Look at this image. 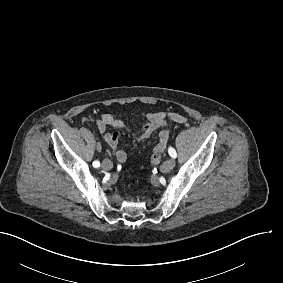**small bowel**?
<instances>
[{
  "instance_id": "small-bowel-1",
  "label": "small bowel",
  "mask_w": 283,
  "mask_h": 283,
  "mask_svg": "<svg viewBox=\"0 0 283 283\" xmlns=\"http://www.w3.org/2000/svg\"><path fill=\"white\" fill-rule=\"evenodd\" d=\"M145 123L142 128L133 133V136L141 141L149 138L156 133L159 128L167 127L170 122L187 125V119L183 115L176 112H148L142 114ZM98 130L104 134V139L109 147L114 150L116 159L120 163H124L127 159V154L124 150L118 149L119 139L121 137L120 131H129L127 123L116 116L109 113H102L96 120ZM108 127L116 129L115 132H106Z\"/></svg>"
}]
</instances>
